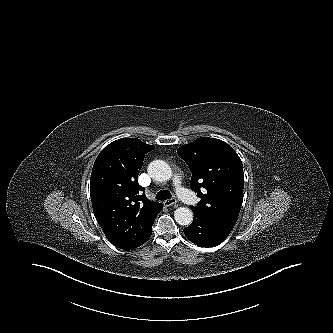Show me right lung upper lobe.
Listing matches in <instances>:
<instances>
[{"label": "right lung upper lobe", "mask_w": 333, "mask_h": 333, "mask_svg": "<svg viewBox=\"0 0 333 333\" xmlns=\"http://www.w3.org/2000/svg\"><path fill=\"white\" fill-rule=\"evenodd\" d=\"M154 149L136 138L107 145L94 163L90 196L95 218L114 246L131 250L151 233L163 205L150 201L137 177L144 155Z\"/></svg>", "instance_id": "obj_1"}]
</instances>
